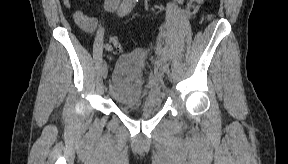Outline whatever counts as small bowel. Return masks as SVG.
Listing matches in <instances>:
<instances>
[{
	"instance_id": "small-bowel-1",
	"label": "small bowel",
	"mask_w": 288,
	"mask_h": 164,
	"mask_svg": "<svg viewBox=\"0 0 288 164\" xmlns=\"http://www.w3.org/2000/svg\"><path fill=\"white\" fill-rule=\"evenodd\" d=\"M104 7L107 10H112V9H114L116 7V2L112 1V0L106 1L105 4H104ZM75 14H81V15H84L86 17L88 23H87L86 26L83 27L85 30L92 31L94 29V27H95V19L92 16L86 15L80 10L76 11ZM75 14H74V16H75Z\"/></svg>"
}]
</instances>
